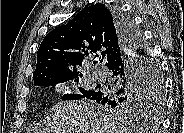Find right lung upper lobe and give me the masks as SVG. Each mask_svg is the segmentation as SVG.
I'll use <instances>...</instances> for the list:
<instances>
[{"mask_svg": "<svg viewBox=\"0 0 184 133\" xmlns=\"http://www.w3.org/2000/svg\"><path fill=\"white\" fill-rule=\"evenodd\" d=\"M121 47L113 10L100 3L87 6L69 23L45 36L37 52L34 83L52 76L78 77L75 66H81L89 55L98 56L97 52L102 55L100 62L107 66ZM68 65L74 66L73 72L66 68Z\"/></svg>", "mask_w": 184, "mask_h": 133, "instance_id": "1", "label": "right lung upper lobe"}]
</instances>
